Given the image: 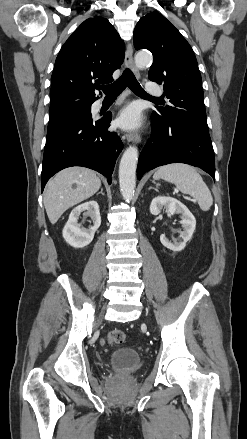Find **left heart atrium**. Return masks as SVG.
I'll use <instances>...</instances> for the list:
<instances>
[{
  "mask_svg": "<svg viewBox=\"0 0 247 439\" xmlns=\"http://www.w3.org/2000/svg\"><path fill=\"white\" fill-rule=\"evenodd\" d=\"M118 125L123 129H135L141 126V111L136 105L124 108L118 117Z\"/></svg>",
  "mask_w": 247,
  "mask_h": 439,
  "instance_id": "1",
  "label": "left heart atrium"
}]
</instances>
